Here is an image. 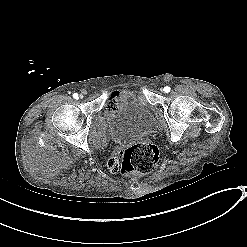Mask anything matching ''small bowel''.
I'll return each mask as SVG.
<instances>
[{
  "mask_svg": "<svg viewBox=\"0 0 247 247\" xmlns=\"http://www.w3.org/2000/svg\"><path fill=\"white\" fill-rule=\"evenodd\" d=\"M127 100L126 97L118 92L111 93L105 101V107L103 110L104 116L107 119L113 120L116 119L123 109L126 106ZM114 139L116 141H121L123 139V134L121 132H116L114 134ZM106 165L110 172L115 173L118 171L119 166L116 163V158L109 156L105 160Z\"/></svg>",
  "mask_w": 247,
  "mask_h": 247,
  "instance_id": "obj_1",
  "label": "small bowel"
}]
</instances>
